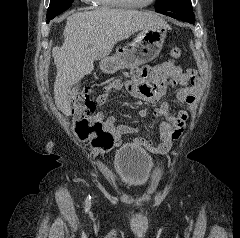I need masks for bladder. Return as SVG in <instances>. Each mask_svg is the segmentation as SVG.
I'll list each match as a JSON object with an SVG mask.
<instances>
[{
    "label": "bladder",
    "mask_w": 240,
    "mask_h": 238,
    "mask_svg": "<svg viewBox=\"0 0 240 238\" xmlns=\"http://www.w3.org/2000/svg\"><path fill=\"white\" fill-rule=\"evenodd\" d=\"M113 165L119 182L130 189L138 190L147 185L154 162L144 148L128 143L116 150Z\"/></svg>",
    "instance_id": "bladder-1"
}]
</instances>
